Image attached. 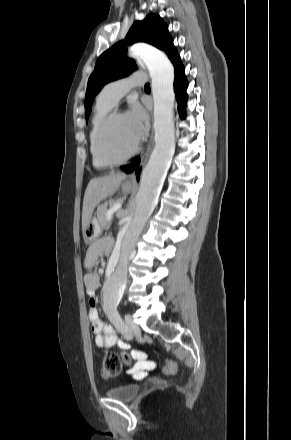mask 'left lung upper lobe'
Segmentation results:
<instances>
[{
	"label": "left lung upper lobe",
	"instance_id": "1",
	"mask_svg": "<svg viewBox=\"0 0 291 440\" xmlns=\"http://www.w3.org/2000/svg\"><path fill=\"white\" fill-rule=\"evenodd\" d=\"M135 42H146L163 50L171 61L178 56L168 26L159 15L148 14L143 21L134 22L125 40L114 44L98 58L88 80L85 95L86 118L91 113L94 97L105 84L125 77L136 69L134 60L126 57L127 45Z\"/></svg>",
	"mask_w": 291,
	"mask_h": 440
}]
</instances>
